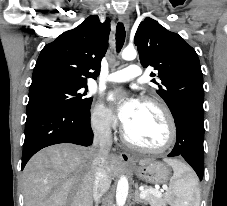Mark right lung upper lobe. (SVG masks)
<instances>
[{"mask_svg":"<svg viewBox=\"0 0 227 206\" xmlns=\"http://www.w3.org/2000/svg\"><path fill=\"white\" fill-rule=\"evenodd\" d=\"M109 33L110 20L101 23L97 15L89 16L76 28L62 33L42 49L32 83L53 79L87 85L88 77L96 79L98 75L108 48Z\"/></svg>","mask_w":227,"mask_h":206,"instance_id":"cb5924a9","label":"right lung upper lobe"}]
</instances>
